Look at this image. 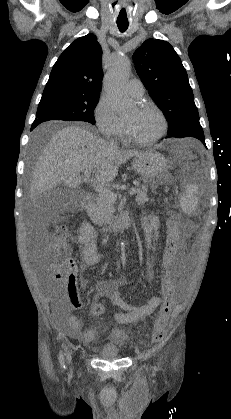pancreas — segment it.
<instances>
[{
	"mask_svg": "<svg viewBox=\"0 0 231 419\" xmlns=\"http://www.w3.org/2000/svg\"><path fill=\"white\" fill-rule=\"evenodd\" d=\"M114 202L115 201L108 200L100 195L96 196L94 198V202L87 208V214L90 217L92 223L98 226L109 224L114 218ZM136 202L141 206L148 202L146 187L138 189Z\"/></svg>",
	"mask_w": 231,
	"mask_h": 419,
	"instance_id": "1",
	"label": "pancreas"
}]
</instances>
